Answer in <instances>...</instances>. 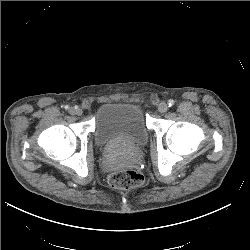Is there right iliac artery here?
<instances>
[{
    "mask_svg": "<svg viewBox=\"0 0 250 250\" xmlns=\"http://www.w3.org/2000/svg\"><path fill=\"white\" fill-rule=\"evenodd\" d=\"M64 108L67 110V109L69 108V106H68V105H66Z\"/></svg>",
    "mask_w": 250,
    "mask_h": 250,
    "instance_id": "1",
    "label": "right iliac artery"
}]
</instances>
